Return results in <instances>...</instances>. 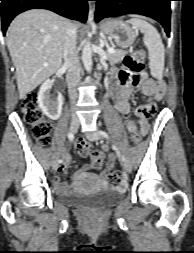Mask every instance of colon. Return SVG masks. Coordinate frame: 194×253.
Returning a JSON list of instances; mask_svg holds the SVG:
<instances>
[{"label": "colon", "mask_w": 194, "mask_h": 253, "mask_svg": "<svg viewBox=\"0 0 194 253\" xmlns=\"http://www.w3.org/2000/svg\"><path fill=\"white\" fill-rule=\"evenodd\" d=\"M144 59V50L133 52L124 59L125 69L135 75L142 74L144 70ZM21 111L24 121L31 127L32 135L35 140L43 146L48 144L52 125L40 110L37 102V95L35 93H29L23 98L21 102ZM154 111L155 107L152 102H149L140 108V113L143 115L153 114ZM131 141L134 144H137L140 141V134L138 132L131 133ZM76 149L82 156L91 155V165L93 168H101L103 164V156L99 151H94L89 142L80 140L76 144ZM107 176L112 183L123 182V174L119 170L109 172Z\"/></svg>", "instance_id": "colon-1"}]
</instances>
